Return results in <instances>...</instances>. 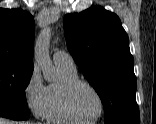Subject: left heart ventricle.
<instances>
[{"instance_id": "left-heart-ventricle-1", "label": "left heart ventricle", "mask_w": 156, "mask_h": 124, "mask_svg": "<svg viewBox=\"0 0 156 124\" xmlns=\"http://www.w3.org/2000/svg\"><path fill=\"white\" fill-rule=\"evenodd\" d=\"M73 106L80 117L86 120L95 118L100 112L99 98L86 86H80L75 90Z\"/></svg>"}]
</instances>
